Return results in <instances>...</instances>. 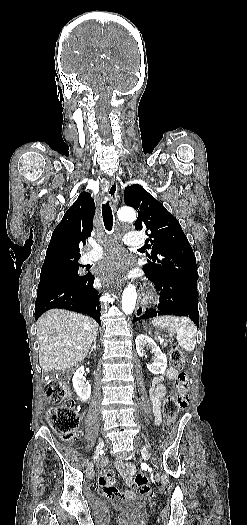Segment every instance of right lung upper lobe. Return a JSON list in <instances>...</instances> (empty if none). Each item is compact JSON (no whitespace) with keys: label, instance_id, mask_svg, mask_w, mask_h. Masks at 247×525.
<instances>
[{"label":"right lung upper lobe","instance_id":"obj_1","mask_svg":"<svg viewBox=\"0 0 247 525\" xmlns=\"http://www.w3.org/2000/svg\"><path fill=\"white\" fill-rule=\"evenodd\" d=\"M94 213L95 205L90 194L81 192L53 231L41 270L79 259V244L91 234Z\"/></svg>","mask_w":247,"mask_h":525}]
</instances>
